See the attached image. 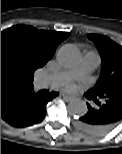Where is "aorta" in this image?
<instances>
[{
    "mask_svg": "<svg viewBox=\"0 0 122 154\" xmlns=\"http://www.w3.org/2000/svg\"><path fill=\"white\" fill-rule=\"evenodd\" d=\"M80 58L79 50L73 45L62 46L57 52L58 62L66 67L74 66ZM68 112L73 116H82L87 112V105L83 100L73 99L68 103Z\"/></svg>",
    "mask_w": 122,
    "mask_h": 154,
    "instance_id": "obj_1",
    "label": "aorta"
}]
</instances>
